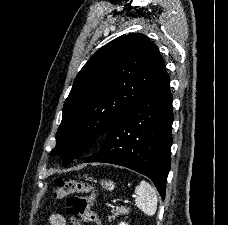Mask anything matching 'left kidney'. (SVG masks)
I'll use <instances>...</instances> for the list:
<instances>
[{
	"label": "left kidney",
	"mask_w": 228,
	"mask_h": 225,
	"mask_svg": "<svg viewBox=\"0 0 228 225\" xmlns=\"http://www.w3.org/2000/svg\"><path fill=\"white\" fill-rule=\"evenodd\" d=\"M120 225H126V223H120Z\"/></svg>",
	"instance_id": "obj_1"
}]
</instances>
